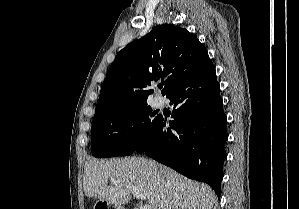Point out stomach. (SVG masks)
Here are the masks:
<instances>
[{
    "instance_id": "stomach-1",
    "label": "stomach",
    "mask_w": 299,
    "mask_h": 209,
    "mask_svg": "<svg viewBox=\"0 0 299 209\" xmlns=\"http://www.w3.org/2000/svg\"><path fill=\"white\" fill-rule=\"evenodd\" d=\"M94 209H110V204L106 201L98 200L94 204ZM115 209H123L122 207H115Z\"/></svg>"
}]
</instances>
